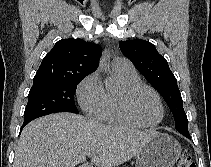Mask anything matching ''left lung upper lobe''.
<instances>
[{"label":"left lung upper lobe","mask_w":211,"mask_h":167,"mask_svg":"<svg viewBox=\"0 0 211 167\" xmlns=\"http://www.w3.org/2000/svg\"><path fill=\"white\" fill-rule=\"evenodd\" d=\"M119 47L122 53L133 62L139 72L164 98L175 118L176 129L181 134L189 133L188 120L183 109L177 80L166 59L158 53L153 44L145 40L120 41Z\"/></svg>","instance_id":"5c2ea615"}]
</instances>
